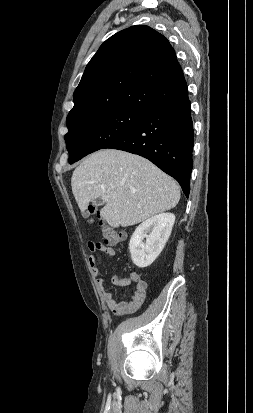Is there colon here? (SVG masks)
Here are the masks:
<instances>
[{
    "instance_id": "colon-1",
    "label": "colon",
    "mask_w": 253,
    "mask_h": 413,
    "mask_svg": "<svg viewBox=\"0 0 253 413\" xmlns=\"http://www.w3.org/2000/svg\"><path fill=\"white\" fill-rule=\"evenodd\" d=\"M97 213V209L93 206H89L82 211L83 217L88 221H92L94 217L97 216ZM100 228L104 242L107 245H117L124 239V235L121 232H118L116 229L108 225L103 219H100Z\"/></svg>"
}]
</instances>
